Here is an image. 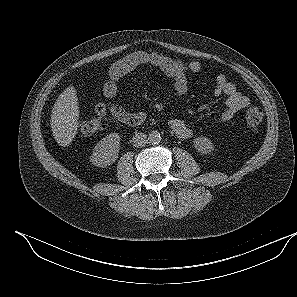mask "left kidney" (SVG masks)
Listing matches in <instances>:
<instances>
[{
  "label": "left kidney",
  "instance_id": "5707ae66",
  "mask_svg": "<svg viewBox=\"0 0 297 297\" xmlns=\"http://www.w3.org/2000/svg\"><path fill=\"white\" fill-rule=\"evenodd\" d=\"M193 144L198 152L203 155L211 154V152L214 150L213 143L206 137H198L194 139Z\"/></svg>",
  "mask_w": 297,
  "mask_h": 297
}]
</instances>
